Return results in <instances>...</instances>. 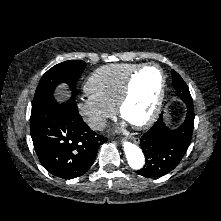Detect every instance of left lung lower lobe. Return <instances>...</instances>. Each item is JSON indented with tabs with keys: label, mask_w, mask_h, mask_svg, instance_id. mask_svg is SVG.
<instances>
[{
	"label": "left lung lower lobe",
	"mask_w": 221,
	"mask_h": 221,
	"mask_svg": "<svg viewBox=\"0 0 221 221\" xmlns=\"http://www.w3.org/2000/svg\"><path fill=\"white\" fill-rule=\"evenodd\" d=\"M187 114L182 125L171 130L163 122L161 113L157 122L140 139L145 155V166L137 173L147 178L160 177L172 171L186 153L194 128L193 101H184Z\"/></svg>",
	"instance_id": "left-lung-lower-lobe-1"
}]
</instances>
